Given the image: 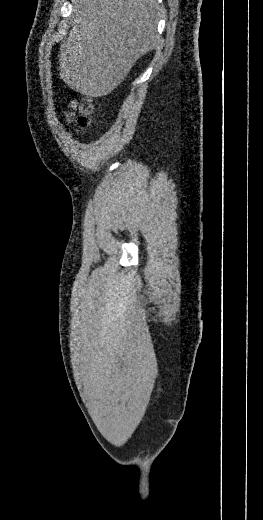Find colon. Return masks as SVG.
Returning a JSON list of instances; mask_svg holds the SVG:
<instances>
[{"mask_svg":"<svg viewBox=\"0 0 263 520\" xmlns=\"http://www.w3.org/2000/svg\"><path fill=\"white\" fill-rule=\"evenodd\" d=\"M93 110V104L89 98H81L73 100L70 109L66 113V119L69 123L76 126L77 131L82 132L88 128L91 123L90 115Z\"/></svg>","mask_w":263,"mask_h":520,"instance_id":"1","label":"colon"}]
</instances>
